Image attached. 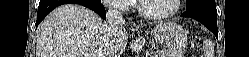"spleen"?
Wrapping results in <instances>:
<instances>
[{"mask_svg": "<svg viewBox=\"0 0 249 57\" xmlns=\"http://www.w3.org/2000/svg\"><path fill=\"white\" fill-rule=\"evenodd\" d=\"M205 56L206 57H213V54L209 50H206Z\"/></svg>", "mask_w": 249, "mask_h": 57, "instance_id": "obj_1", "label": "spleen"}]
</instances>
